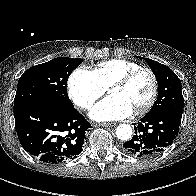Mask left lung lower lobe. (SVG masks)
I'll use <instances>...</instances> for the list:
<instances>
[{"label": "left lung lower lobe", "instance_id": "0a47b994", "mask_svg": "<svg viewBox=\"0 0 196 196\" xmlns=\"http://www.w3.org/2000/svg\"><path fill=\"white\" fill-rule=\"evenodd\" d=\"M181 117L169 111L146 114L138 124H134L135 135L123 144L124 152L142 158L158 155L178 135Z\"/></svg>", "mask_w": 196, "mask_h": 196}]
</instances>
